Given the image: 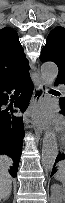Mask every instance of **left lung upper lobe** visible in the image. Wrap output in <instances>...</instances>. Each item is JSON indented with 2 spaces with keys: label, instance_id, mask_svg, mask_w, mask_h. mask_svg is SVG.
<instances>
[{
  "label": "left lung upper lobe",
  "instance_id": "1",
  "mask_svg": "<svg viewBox=\"0 0 65 203\" xmlns=\"http://www.w3.org/2000/svg\"><path fill=\"white\" fill-rule=\"evenodd\" d=\"M40 59L56 63L59 69L57 78L65 79V28L58 26L49 33ZM63 99L61 102H65Z\"/></svg>",
  "mask_w": 65,
  "mask_h": 203
}]
</instances>
